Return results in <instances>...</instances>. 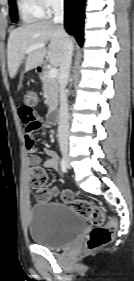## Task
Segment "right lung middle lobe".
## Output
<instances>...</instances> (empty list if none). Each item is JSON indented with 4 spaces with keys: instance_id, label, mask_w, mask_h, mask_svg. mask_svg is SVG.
Masks as SVG:
<instances>
[{
    "instance_id": "obj_1",
    "label": "right lung middle lobe",
    "mask_w": 134,
    "mask_h": 281,
    "mask_svg": "<svg viewBox=\"0 0 134 281\" xmlns=\"http://www.w3.org/2000/svg\"><path fill=\"white\" fill-rule=\"evenodd\" d=\"M9 6H10L11 20L12 22H17L18 16H17V8H16L15 0H9Z\"/></svg>"
}]
</instances>
